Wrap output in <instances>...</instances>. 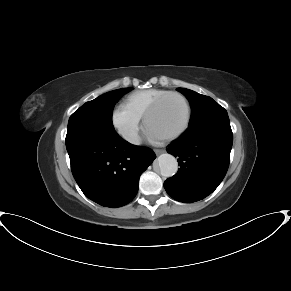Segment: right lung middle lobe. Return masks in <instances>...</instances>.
Returning a JSON list of instances; mask_svg holds the SVG:
<instances>
[{
	"mask_svg": "<svg viewBox=\"0 0 291 291\" xmlns=\"http://www.w3.org/2000/svg\"><path fill=\"white\" fill-rule=\"evenodd\" d=\"M131 89L113 90L86 102L70 116L68 128L73 126H93L114 129L112 124L114 105Z\"/></svg>",
	"mask_w": 291,
	"mask_h": 291,
	"instance_id": "obj_1",
	"label": "right lung middle lobe"
}]
</instances>
